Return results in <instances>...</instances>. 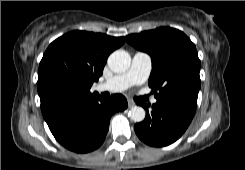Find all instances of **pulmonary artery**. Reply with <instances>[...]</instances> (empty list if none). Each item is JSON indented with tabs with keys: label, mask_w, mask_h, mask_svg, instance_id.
Returning a JSON list of instances; mask_svg holds the SVG:
<instances>
[{
	"label": "pulmonary artery",
	"mask_w": 245,
	"mask_h": 170,
	"mask_svg": "<svg viewBox=\"0 0 245 170\" xmlns=\"http://www.w3.org/2000/svg\"><path fill=\"white\" fill-rule=\"evenodd\" d=\"M152 68V60L149 54L137 52L134 54L132 64L128 71L113 76L99 85L100 90L109 92H121L132 85L142 84L147 80ZM154 98L152 103H156Z\"/></svg>",
	"instance_id": "pulmonary-artery-1"
}]
</instances>
